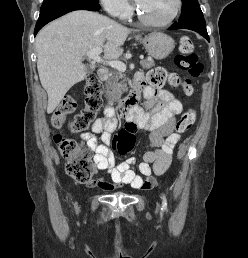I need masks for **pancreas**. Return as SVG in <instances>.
Returning a JSON list of instances; mask_svg holds the SVG:
<instances>
[{"label": "pancreas", "mask_w": 248, "mask_h": 258, "mask_svg": "<svg viewBox=\"0 0 248 258\" xmlns=\"http://www.w3.org/2000/svg\"><path fill=\"white\" fill-rule=\"evenodd\" d=\"M140 64L144 69H149L155 65V62L153 59H146L142 60ZM124 77L125 76L121 71L114 69L106 80V95L110 101L117 100L121 95L122 90L126 87L123 82H120Z\"/></svg>", "instance_id": "1"}]
</instances>
